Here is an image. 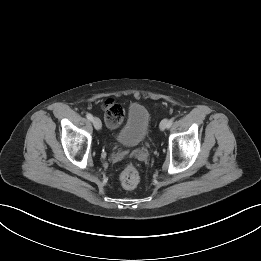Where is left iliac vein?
Returning a JSON list of instances; mask_svg holds the SVG:
<instances>
[{"mask_svg":"<svg viewBox=\"0 0 261 261\" xmlns=\"http://www.w3.org/2000/svg\"><path fill=\"white\" fill-rule=\"evenodd\" d=\"M168 123H169V120L168 119H164V120H162L161 121V123H160V130H165V129H167L168 127H167V125H168Z\"/></svg>","mask_w":261,"mask_h":261,"instance_id":"obj_1","label":"left iliac vein"}]
</instances>
